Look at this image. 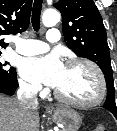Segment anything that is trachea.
Returning <instances> with one entry per match:
<instances>
[{"mask_svg": "<svg viewBox=\"0 0 117 131\" xmlns=\"http://www.w3.org/2000/svg\"><path fill=\"white\" fill-rule=\"evenodd\" d=\"M43 0H34L33 9H32V26L35 31L40 29V16L42 9Z\"/></svg>", "mask_w": 117, "mask_h": 131, "instance_id": "obj_1", "label": "trachea"}]
</instances>
